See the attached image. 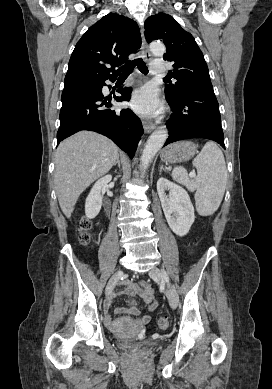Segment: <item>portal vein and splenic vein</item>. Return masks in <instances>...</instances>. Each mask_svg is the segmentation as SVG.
<instances>
[{"label": "portal vein and splenic vein", "mask_w": 272, "mask_h": 389, "mask_svg": "<svg viewBox=\"0 0 272 389\" xmlns=\"http://www.w3.org/2000/svg\"><path fill=\"white\" fill-rule=\"evenodd\" d=\"M189 176H190V178H194L196 176V174L194 171H192V172H190Z\"/></svg>", "instance_id": "18ae733b"}]
</instances>
